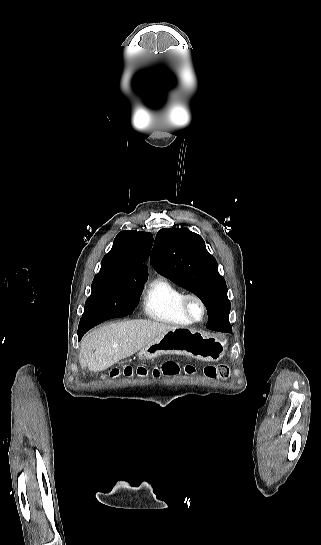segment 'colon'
<instances>
[{"instance_id":"5ec220e1","label":"colon","mask_w":321,"mask_h":545,"mask_svg":"<svg viewBox=\"0 0 321 545\" xmlns=\"http://www.w3.org/2000/svg\"><path fill=\"white\" fill-rule=\"evenodd\" d=\"M181 369H184L186 373H192L195 370V368L190 364L182 367L178 362L168 360L152 370H149L143 366L136 368L127 367L122 372L117 369L112 370L109 375L110 377H117L120 375V373H123L125 376H132L134 374L138 376H145L150 372L154 377L158 378L160 376L177 375ZM204 374L206 377L214 380H225L230 376V367L224 363L207 365L204 367Z\"/></svg>"}]
</instances>
